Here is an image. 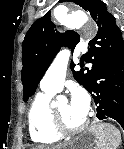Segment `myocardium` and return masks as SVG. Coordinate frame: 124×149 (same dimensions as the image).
Returning a JSON list of instances; mask_svg holds the SVG:
<instances>
[{
	"mask_svg": "<svg viewBox=\"0 0 124 149\" xmlns=\"http://www.w3.org/2000/svg\"><path fill=\"white\" fill-rule=\"evenodd\" d=\"M51 115H52V124L57 133H59L62 136H68V135H75L80 132H82L89 124V119L86 118L82 124H80L77 127H69L65 124L62 116L58 112L57 108L51 109Z\"/></svg>",
	"mask_w": 124,
	"mask_h": 149,
	"instance_id": "f54148a6",
	"label": "myocardium"
}]
</instances>
